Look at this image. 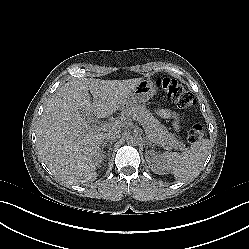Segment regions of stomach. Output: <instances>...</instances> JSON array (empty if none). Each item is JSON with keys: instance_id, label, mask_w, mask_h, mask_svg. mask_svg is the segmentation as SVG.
<instances>
[{"instance_id": "obj_1", "label": "stomach", "mask_w": 249, "mask_h": 249, "mask_svg": "<svg viewBox=\"0 0 249 249\" xmlns=\"http://www.w3.org/2000/svg\"><path fill=\"white\" fill-rule=\"evenodd\" d=\"M158 89L155 84L148 79L141 80L132 89L128 102L129 103H144L157 95Z\"/></svg>"}]
</instances>
